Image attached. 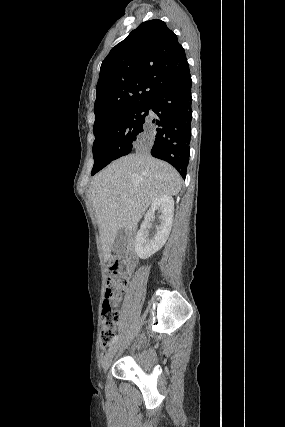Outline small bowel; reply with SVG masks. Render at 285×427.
Wrapping results in <instances>:
<instances>
[{"mask_svg":"<svg viewBox=\"0 0 285 427\" xmlns=\"http://www.w3.org/2000/svg\"><path fill=\"white\" fill-rule=\"evenodd\" d=\"M147 341H148V340H147V339H145V340L143 341V343H144V344H146V343H147Z\"/></svg>","mask_w":285,"mask_h":427,"instance_id":"1","label":"small bowel"}]
</instances>
